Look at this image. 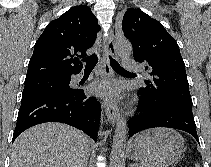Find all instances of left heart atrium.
I'll return each instance as SVG.
<instances>
[{
  "instance_id": "1",
  "label": "left heart atrium",
  "mask_w": 211,
  "mask_h": 167,
  "mask_svg": "<svg viewBox=\"0 0 211 167\" xmlns=\"http://www.w3.org/2000/svg\"><path fill=\"white\" fill-rule=\"evenodd\" d=\"M94 93L108 95L110 97H117L120 93V88L116 83L96 82L91 86Z\"/></svg>"
}]
</instances>
